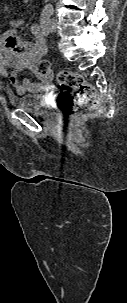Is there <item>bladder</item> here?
Wrapping results in <instances>:
<instances>
[{
    "instance_id": "31cf9c89",
    "label": "bladder",
    "mask_w": 127,
    "mask_h": 303,
    "mask_svg": "<svg viewBox=\"0 0 127 303\" xmlns=\"http://www.w3.org/2000/svg\"><path fill=\"white\" fill-rule=\"evenodd\" d=\"M10 105L16 109L25 110L34 114L46 115V107L42 96L39 94H21L9 96Z\"/></svg>"
}]
</instances>
